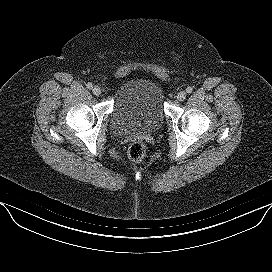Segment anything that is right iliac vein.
<instances>
[{"instance_id": "obj_1", "label": "right iliac vein", "mask_w": 272, "mask_h": 272, "mask_svg": "<svg viewBox=\"0 0 272 272\" xmlns=\"http://www.w3.org/2000/svg\"><path fill=\"white\" fill-rule=\"evenodd\" d=\"M92 92L94 95L99 96L102 93V90L99 86H94L92 88Z\"/></svg>"}]
</instances>
